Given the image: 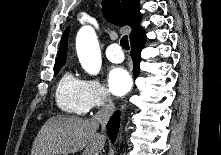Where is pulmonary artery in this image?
I'll list each match as a JSON object with an SVG mask.
<instances>
[{
  "mask_svg": "<svg viewBox=\"0 0 221 155\" xmlns=\"http://www.w3.org/2000/svg\"><path fill=\"white\" fill-rule=\"evenodd\" d=\"M106 57L114 63H120L124 60V54L117 43L109 45L105 51Z\"/></svg>",
  "mask_w": 221,
  "mask_h": 155,
  "instance_id": "obj_1",
  "label": "pulmonary artery"
}]
</instances>
